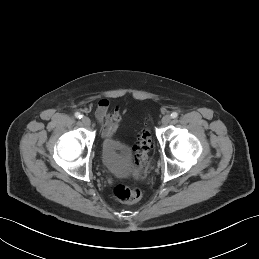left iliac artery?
Segmentation results:
<instances>
[{"label":"left iliac artery","instance_id":"obj_1","mask_svg":"<svg viewBox=\"0 0 259 259\" xmlns=\"http://www.w3.org/2000/svg\"><path fill=\"white\" fill-rule=\"evenodd\" d=\"M171 117L172 118H177L178 117V113L177 112H172L171 113Z\"/></svg>","mask_w":259,"mask_h":259}]
</instances>
